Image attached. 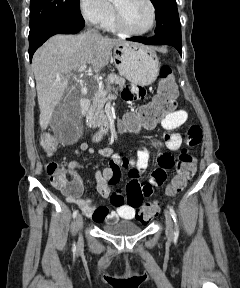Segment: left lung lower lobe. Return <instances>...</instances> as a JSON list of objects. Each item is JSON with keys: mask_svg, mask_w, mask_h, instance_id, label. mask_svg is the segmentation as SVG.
Listing matches in <instances>:
<instances>
[{"mask_svg": "<svg viewBox=\"0 0 240 288\" xmlns=\"http://www.w3.org/2000/svg\"><path fill=\"white\" fill-rule=\"evenodd\" d=\"M129 40L140 42L147 45L153 44H168L175 47L180 55H182V42H181V32H163L155 34L150 38H130Z\"/></svg>", "mask_w": 240, "mask_h": 288, "instance_id": "0a47b994", "label": "left lung lower lobe"}]
</instances>
